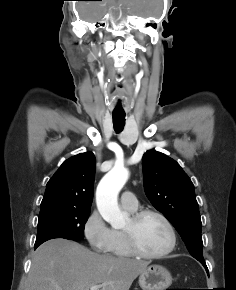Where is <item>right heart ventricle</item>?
Wrapping results in <instances>:
<instances>
[{"mask_svg":"<svg viewBox=\"0 0 236 290\" xmlns=\"http://www.w3.org/2000/svg\"><path fill=\"white\" fill-rule=\"evenodd\" d=\"M126 210L129 212L135 211V210L132 211V210H128V209H126ZM112 232H113V239H112V243L110 245L108 252L111 255L116 256V257H121V258L131 257L132 254H131V252L128 248V245L126 243L123 231L113 229Z\"/></svg>","mask_w":236,"mask_h":290,"instance_id":"obj_1","label":"right heart ventricle"}]
</instances>
